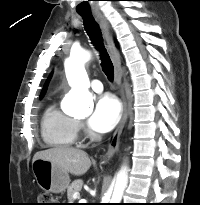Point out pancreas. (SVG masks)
<instances>
[{
    "instance_id": "cf45deb5",
    "label": "pancreas",
    "mask_w": 200,
    "mask_h": 205,
    "mask_svg": "<svg viewBox=\"0 0 200 205\" xmlns=\"http://www.w3.org/2000/svg\"><path fill=\"white\" fill-rule=\"evenodd\" d=\"M83 181L81 179L74 180L67 189L68 200H72L73 194L79 192L82 189Z\"/></svg>"
}]
</instances>
